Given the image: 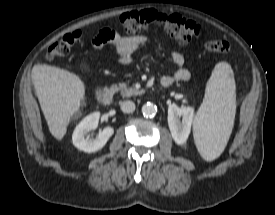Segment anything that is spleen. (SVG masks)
<instances>
[{
	"label": "spleen",
	"instance_id": "3e777b00",
	"mask_svg": "<svg viewBox=\"0 0 275 215\" xmlns=\"http://www.w3.org/2000/svg\"><path fill=\"white\" fill-rule=\"evenodd\" d=\"M235 113L233 70L227 62H219L207 82L203 103L193 124L195 144L204 160L212 161L224 151L232 132Z\"/></svg>",
	"mask_w": 275,
	"mask_h": 215
}]
</instances>
